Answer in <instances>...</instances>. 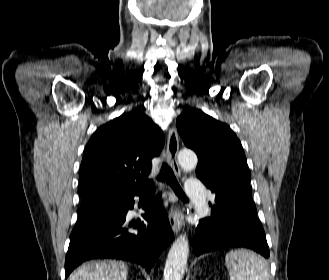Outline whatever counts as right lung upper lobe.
<instances>
[{"instance_id":"cb5924a9","label":"right lung upper lobe","mask_w":329,"mask_h":280,"mask_svg":"<svg viewBox=\"0 0 329 280\" xmlns=\"http://www.w3.org/2000/svg\"><path fill=\"white\" fill-rule=\"evenodd\" d=\"M163 145L162 131L140 111L124 113L99 127L84 149L81 200L148 186L151 159Z\"/></svg>"}]
</instances>
